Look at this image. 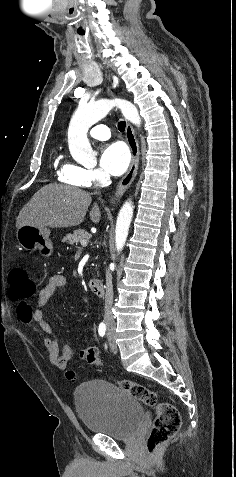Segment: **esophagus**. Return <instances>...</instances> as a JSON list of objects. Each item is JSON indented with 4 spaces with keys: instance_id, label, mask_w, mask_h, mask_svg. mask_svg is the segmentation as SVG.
<instances>
[{
    "instance_id": "obj_1",
    "label": "esophagus",
    "mask_w": 236,
    "mask_h": 477,
    "mask_svg": "<svg viewBox=\"0 0 236 477\" xmlns=\"http://www.w3.org/2000/svg\"><path fill=\"white\" fill-rule=\"evenodd\" d=\"M126 139L131 151V164L126 175L119 182L115 195L111 198V202H115L130 187L136 177L139 165V144L135 136L134 130L130 123L126 124Z\"/></svg>"
}]
</instances>
